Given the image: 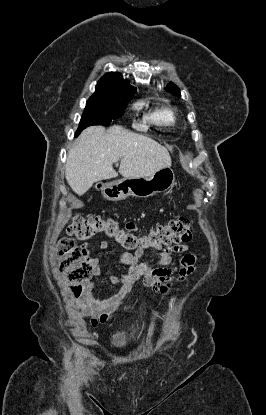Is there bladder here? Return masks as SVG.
Wrapping results in <instances>:
<instances>
[{
  "instance_id": "31cf9c89",
  "label": "bladder",
  "mask_w": 266,
  "mask_h": 415,
  "mask_svg": "<svg viewBox=\"0 0 266 415\" xmlns=\"http://www.w3.org/2000/svg\"><path fill=\"white\" fill-rule=\"evenodd\" d=\"M136 340V331L126 326L117 329L111 338V344L116 349H125L129 344Z\"/></svg>"
}]
</instances>
